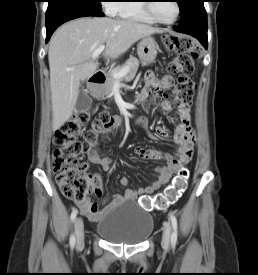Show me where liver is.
<instances>
[{
    "label": "liver",
    "instance_id": "obj_1",
    "mask_svg": "<svg viewBox=\"0 0 258 275\" xmlns=\"http://www.w3.org/2000/svg\"><path fill=\"white\" fill-rule=\"evenodd\" d=\"M161 32L134 20L108 17H82L62 25L51 38L48 50L53 131L71 117L80 82L97 70L92 53L99 46L106 44L103 55L116 59L138 40Z\"/></svg>",
    "mask_w": 258,
    "mask_h": 275
}]
</instances>
